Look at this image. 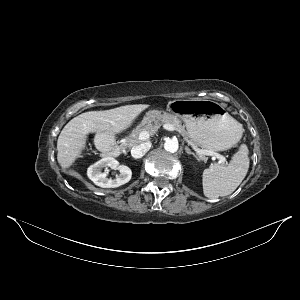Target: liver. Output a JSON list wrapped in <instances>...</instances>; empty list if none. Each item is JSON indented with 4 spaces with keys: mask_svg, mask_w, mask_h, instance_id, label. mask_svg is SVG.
<instances>
[{
    "mask_svg": "<svg viewBox=\"0 0 300 300\" xmlns=\"http://www.w3.org/2000/svg\"><path fill=\"white\" fill-rule=\"evenodd\" d=\"M146 108L148 105H126L105 111L85 112L70 120L57 140V160L61 168L68 169L81 156L88 134L120 133L129 128Z\"/></svg>",
    "mask_w": 300,
    "mask_h": 300,
    "instance_id": "6515ba94",
    "label": "liver"
}]
</instances>
